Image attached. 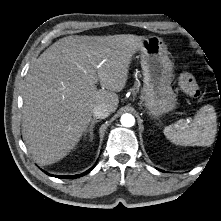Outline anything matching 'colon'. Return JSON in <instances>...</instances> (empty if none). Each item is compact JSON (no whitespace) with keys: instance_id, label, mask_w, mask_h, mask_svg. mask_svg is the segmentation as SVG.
Masks as SVG:
<instances>
[{"instance_id":"obj_1","label":"colon","mask_w":221,"mask_h":221,"mask_svg":"<svg viewBox=\"0 0 221 221\" xmlns=\"http://www.w3.org/2000/svg\"><path fill=\"white\" fill-rule=\"evenodd\" d=\"M179 85L182 91L187 95L193 98H199L201 96L200 87L192 74L188 72L182 73L179 76Z\"/></svg>"}]
</instances>
